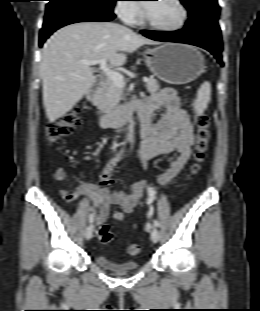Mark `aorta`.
<instances>
[{
  "label": "aorta",
  "instance_id": "aorta-1",
  "mask_svg": "<svg viewBox=\"0 0 260 311\" xmlns=\"http://www.w3.org/2000/svg\"><path fill=\"white\" fill-rule=\"evenodd\" d=\"M133 126H134V121L131 119L129 126H128V136H127L128 140H130L132 137Z\"/></svg>",
  "mask_w": 260,
  "mask_h": 311
}]
</instances>
